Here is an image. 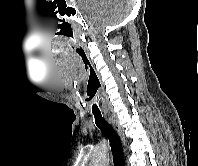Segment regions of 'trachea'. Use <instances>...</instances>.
<instances>
[{
	"mask_svg": "<svg viewBox=\"0 0 198 166\" xmlns=\"http://www.w3.org/2000/svg\"><path fill=\"white\" fill-rule=\"evenodd\" d=\"M95 123L101 132L109 139L115 166H126L122 143L117 132L105 121L101 113H93Z\"/></svg>",
	"mask_w": 198,
	"mask_h": 166,
	"instance_id": "obj_1",
	"label": "trachea"
}]
</instances>
